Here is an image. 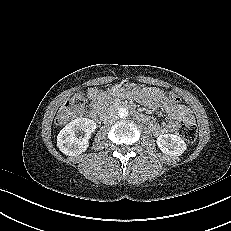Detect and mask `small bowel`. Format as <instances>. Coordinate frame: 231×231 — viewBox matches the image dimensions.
I'll return each instance as SVG.
<instances>
[{
    "label": "small bowel",
    "instance_id": "obj_1",
    "mask_svg": "<svg viewBox=\"0 0 231 231\" xmlns=\"http://www.w3.org/2000/svg\"><path fill=\"white\" fill-rule=\"evenodd\" d=\"M121 89L114 88L110 91L90 90V107L95 111L106 99L112 95H117ZM134 100L141 102L152 110L163 109L166 120L163 123L152 121L148 116H142V120L147 123L155 135L175 132L180 123H194L192 111L183 104H172L168 97L159 89L154 87H142L132 91Z\"/></svg>",
    "mask_w": 231,
    "mask_h": 231
}]
</instances>
